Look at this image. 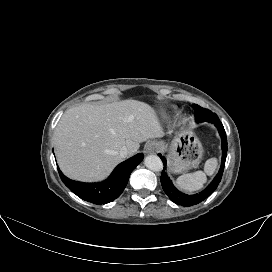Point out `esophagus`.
I'll return each instance as SVG.
<instances>
[{"label": "esophagus", "instance_id": "esophagus-1", "mask_svg": "<svg viewBox=\"0 0 272 272\" xmlns=\"http://www.w3.org/2000/svg\"><path fill=\"white\" fill-rule=\"evenodd\" d=\"M157 149V145L155 142H148L145 147H144V151L146 154H152L156 151Z\"/></svg>", "mask_w": 272, "mask_h": 272}]
</instances>
